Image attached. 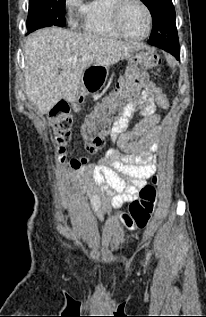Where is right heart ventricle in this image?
<instances>
[{
	"mask_svg": "<svg viewBox=\"0 0 206 317\" xmlns=\"http://www.w3.org/2000/svg\"><path fill=\"white\" fill-rule=\"evenodd\" d=\"M113 0H89L84 5L82 26L85 32L109 38L120 37L114 30L110 18Z\"/></svg>",
	"mask_w": 206,
	"mask_h": 317,
	"instance_id": "obj_1",
	"label": "right heart ventricle"
}]
</instances>
